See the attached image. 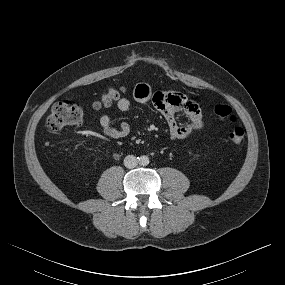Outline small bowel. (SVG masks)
Here are the masks:
<instances>
[{"mask_svg": "<svg viewBox=\"0 0 285 285\" xmlns=\"http://www.w3.org/2000/svg\"><path fill=\"white\" fill-rule=\"evenodd\" d=\"M134 98L141 104L152 103L163 115L169 126L170 138L173 141L183 140L199 131L205 123L199 105L184 94L178 92L152 91L149 85L139 83L134 88ZM121 112H128L132 108L131 101L122 97L117 102ZM177 113H184L188 122L179 124ZM102 133L111 139H120L129 135L131 128L126 121H121L119 127H114L111 117L103 114L99 119Z\"/></svg>", "mask_w": 285, "mask_h": 285, "instance_id": "1", "label": "small bowel"}]
</instances>
